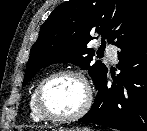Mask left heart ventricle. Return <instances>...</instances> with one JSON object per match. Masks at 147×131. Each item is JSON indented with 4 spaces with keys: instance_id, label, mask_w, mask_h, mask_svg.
Returning <instances> with one entry per match:
<instances>
[{
    "instance_id": "obj_1",
    "label": "left heart ventricle",
    "mask_w": 147,
    "mask_h": 131,
    "mask_svg": "<svg viewBox=\"0 0 147 131\" xmlns=\"http://www.w3.org/2000/svg\"><path fill=\"white\" fill-rule=\"evenodd\" d=\"M86 89L76 77L65 76L52 81L44 93L47 108L54 114L71 115L86 101Z\"/></svg>"
}]
</instances>
